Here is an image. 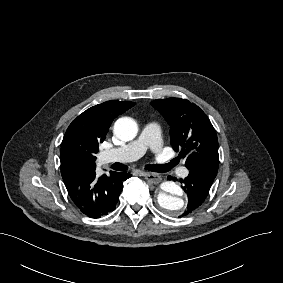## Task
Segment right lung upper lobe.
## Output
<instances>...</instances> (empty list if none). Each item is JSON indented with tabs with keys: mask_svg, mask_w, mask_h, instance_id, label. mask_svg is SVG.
<instances>
[{
	"mask_svg": "<svg viewBox=\"0 0 283 283\" xmlns=\"http://www.w3.org/2000/svg\"><path fill=\"white\" fill-rule=\"evenodd\" d=\"M134 105V102L115 100L87 109L68 127L61 150L69 147L81 148L94 158V166L91 167H96L94 155L98 152L99 144L105 140L112 121Z\"/></svg>",
	"mask_w": 283,
	"mask_h": 283,
	"instance_id": "cb5924a9",
	"label": "right lung upper lobe"
}]
</instances>
